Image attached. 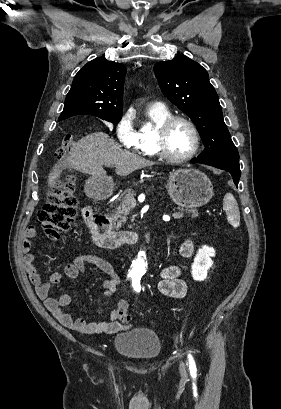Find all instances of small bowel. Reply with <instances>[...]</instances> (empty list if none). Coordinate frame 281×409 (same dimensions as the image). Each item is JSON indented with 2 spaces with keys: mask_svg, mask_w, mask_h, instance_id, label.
<instances>
[{
  "mask_svg": "<svg viewBox=\"0 0 281 409\" xmlns=\"http://www.w3.org/2000/svg\"><path fill=\"white\" fill-rule=\"evenodd\" d=\"M37 236L34 226H29L26 231V239L23 241L24 264L26 272L33 284L39 299L45 304L53 316L64 326L74 331L84 334H116L129 330L131 322L126 319L128 311V301L121 298L116 307L110 312L108 321H92L84 318H74L66 307L70 304L71 298L68 294H60L57 298L49 296L50 284H59L64 278L75 280L85 271L86 264H92L109 276L102 283V294L104 305L108 304L109 298L116 294L121 284V278L114 267L104 258L84 254L76 257L71 264L65 266L63 273L54 272L50 276V281H44L35 266V256L30 252L31 242ZM193 242L185 240L175 244L173 254L184 258H189L193 252ZM183 270L178 265H170L162 268L159 272L157 289L160 294L170 301L182 299L190 292V285L183 278Z\"/></svg>",
  "mask_w": 281,
  "mask_h": 409,
  "instance_id": "obj_1",
  "label": "small bowel"
}]
</instances>
